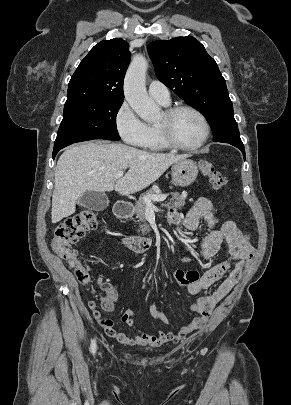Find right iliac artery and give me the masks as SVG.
Here are the masks:
<instances>
[{
	"label": "right iliac artery",
	"mask_w": 291,
	"mask_h": 405,
	"mask_svg": "<svg viewBox=\"0 0 291 405\" xmlns=\"http://www.w3.org/2000/svg\"><path fill=\"white\" fill-rule=\"evenodd\" d=\"M91 351L93 353H95V351H96V341L95 340H92V342H91Z\"/></svg>",
	"instance_id": "obj_1"
}]
</instances>
